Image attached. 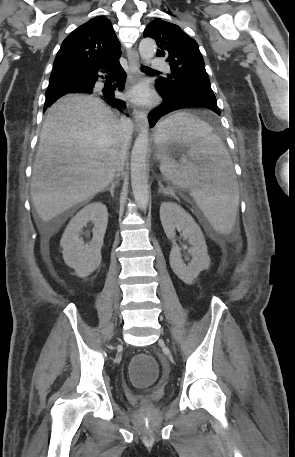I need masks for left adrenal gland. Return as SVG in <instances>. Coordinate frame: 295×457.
Returning <instances> with one entry per match:
<instances>
[{
	"mask_svg": "<svg viewBox=\"0 0 295 457\" xmlns=\"http://www.w3.org/2000/svg\"><path fill=\"white\" fill-rule=\"evenodd\" d=\"M158 184H159V190H158L159 194L170 195V193L163 187L161 181H158Z\"/></svg>",
	"mask_w": 295,
	"mask_h": 457,
	"instance_id": "left-adrenal-gland-1",
	"label": "left adrenal gland"
}]
</instances>
